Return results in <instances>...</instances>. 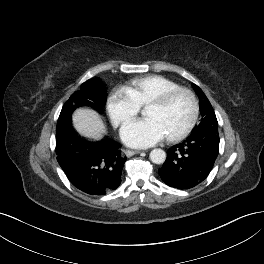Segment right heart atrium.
I'll return each mask as SVG.
<instances>
[{
  "label": "right heart atrium",
  "instance_id": "right-heart-atrium-1",
  "mask_svg": "<svg viewBox=\"0 0 264 264\" xmlns=\"http://www.w3.org/2000/svg\"><path fill=\"white\" fill-rule=\"evenodd\" d=\"M140 110L126 89H116L107 100V111L112 122L119 126L127 124Z\"/></svg>",
  "mask_w": 264,
  "mask_h": 264
}]
</instances>
